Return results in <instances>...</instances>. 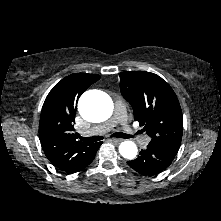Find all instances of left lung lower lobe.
I'll return each mask as SVG.
<instances>
[{
  "mask_svg": "<svg viewBox=\"0 0 221 221\" xmlns=\"http://www.w3.org/2000/svg\"><path fill=\"white\" fill-rule=\"evenodd\" d=\"M137 159L128 161L127 164L139 174L145 176L157 175L164 171L172 162L175 153L158 145L148 144Z\"/></svg>",
  "mask_w": 221,
  "mask_h": 221,
  "instance_id": "obj_1",
  "label": "left lung lower lobe"
}]
</instances>
